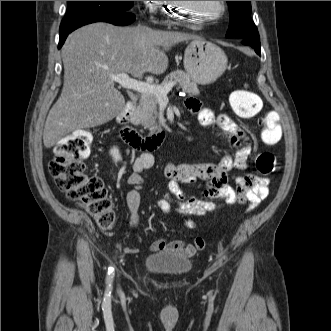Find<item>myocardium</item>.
I'll use <instances>...</instances> for the list:
<instances>
[{
	"label": "myocardium",
	"instance_id": "obj_1",
	"mask_svg": "<svg viewBox=\"0 0 331 331\" xmlns=\"http://www.w3.org/2000/svg\"><path fill=\"white\" fill-rule=\"evenodd\" d=\"M173 4L174 6L172 9H170L169 17L179 25H201L204 23H208L222 17L226 10L225 1H219V10L216 14L210 17L199 19L198 21H194L191 19H186L184 17V14L182 13L184 8L186 7L185 1H174Z\"/></svg>",
	"mask_w": 331,
	"mask_h": 331
}]
</instances>
